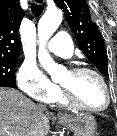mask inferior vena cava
Instances as JSON below:
<instances>
[{"label":"inferior vena cava","instance_id":"1","mask_svg":"<svg viewBox=\"0 0 117 136\" xmlns=\"http://www.w3.org/2000/svg\"><path fill=\"white\" fill-rule=\"evenodd\" d=\"M40 108L45 109L44 105H38Z\"/></svg>","mask_w":117,"mask_h":136}]
</instances>
